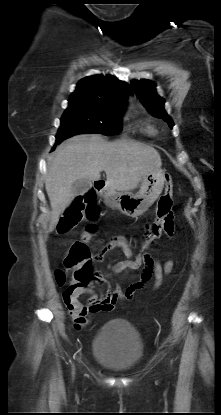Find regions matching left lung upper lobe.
<instances>
[{
	"mask_svg": "<svg viewBox=\"0 0 221 415\" xmlns=\"http://www.w3.org/2000/svg\"><path fill=\"white\" fill-rule=\"evenodd\" d=\"M131 86L146 109L152 115L162 118L172 128L173 121L164 110V99L156 93L155 83L145 79L140 81L132 80Z\"/></svg>",
	"mask_w": 221,
	"mask_h": 415,
	"instance_id": "5c2ea615",
	"label": "left lung upper lobe"
}]
</instances>
